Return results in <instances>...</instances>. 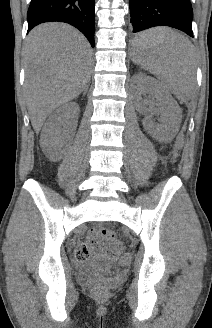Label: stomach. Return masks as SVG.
<instances>
[{"label":"stomach","instance_id":"1","mask_svg":"<svg viewBox=\"0 0 212 328\" xmlns=\"http://www.w3.org/2000/svg\"><path fill=\"white\" fill-rule=\"evenodd\" d=\"M136 52H137V51H136V49H135L134 54H136Z\"/></svg>","mask_w":212,"mask_h":328}]
</instances>
